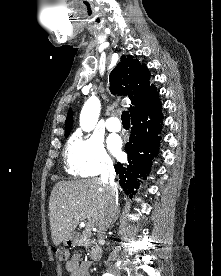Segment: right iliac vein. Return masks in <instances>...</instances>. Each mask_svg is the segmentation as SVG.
Here are the masks:
<instances>
[{"label":"right iliac vein","instance_id":"63e3f726","mask_svg":"<svg viewBox=\"0 0 221 276\" xmlns=\"http://www.w3.org/2000/svg\"><path fill=\"white\" fill-rule=\"evenodd\" d=\"M112 276H118V275H116L115 273H113V275Z\"/></svg>","mask_w":221,"mask_h":276}]
</instances>
